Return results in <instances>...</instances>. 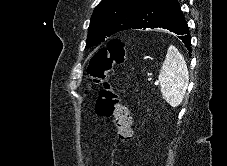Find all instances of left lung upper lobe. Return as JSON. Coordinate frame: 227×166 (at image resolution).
<instances>
[{"label":"left lung upper lobe","instance_id":"obj_1","mask_svg":"<svg viewBox=\"0 0 227 166\" xmlns=\"http://www.w3.org/2000/svg\"><path fill=\"white\" fill-rule=\"evenodd\" d=\"M147 0H102L88 28L86 47L97 45L113 34L130 29Z\"/></svg>","mask_w":227,"mask_h":166}]
</instances>
